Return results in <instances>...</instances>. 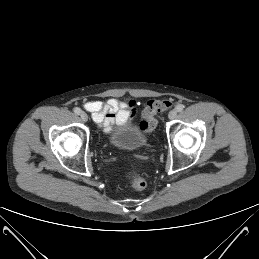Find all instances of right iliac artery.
Here are the masks:
<instances>
[{
    "instance_id": "obj_1",
    "label": "right iliac artery",
    "mask_w": 259,
    "mask_h": 259,
    "mask_svg": "<svg viewBox=\"0 0 259 259\" xmlns=\"http://www.w3.org/2000/svg\"><path fill=\"white\" fill-rule=\"evenodd\" d=\"M74 113L79 115L81 113V109L78 107L74 108Z\"/></svg>"
}]
</instances>
